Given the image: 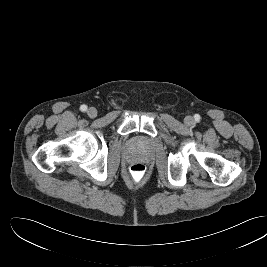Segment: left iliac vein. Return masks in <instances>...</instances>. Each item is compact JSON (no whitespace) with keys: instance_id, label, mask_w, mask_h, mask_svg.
Segmentation results:
<instances>
[{"instance_id":"1","label":"left iliac vein","mask_w":267,"mask_h":267,"mask_svg":"<svg viewBox=\"0 0 267 267\" xmlns=\"http://www.w3.org/2000/svg\"><path fill=\"white\" fill-rule=\"evenodd\" d=\"M184 122L186 125L191 126L194 124V119L192 116H186Z\"/></svg>"}]
</instances>
